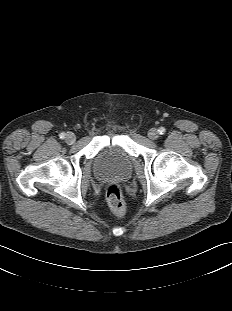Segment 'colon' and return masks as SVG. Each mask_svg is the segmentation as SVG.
Instances as JSON below:
<instances>
[{"instance_id":"colon-1","label":"colon","mask_w":232,"mask_h":311,"mask_svg":"<svg viewBox=\"0 0 232 311\" xmlns=\"http://www.w3.org/2000/svg\"><path fill=\"white\" fill-rule=\"evenodd\" d=\"M106 199L110 209L117 215L125 211V202L120 186L111 183L106 188Z\"/></svg>"}]
</instances>
